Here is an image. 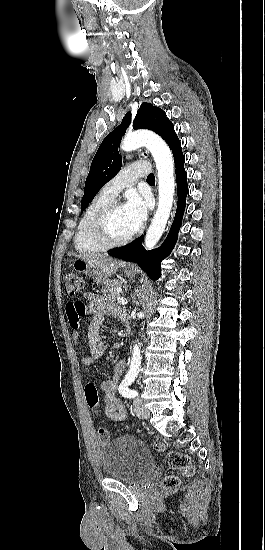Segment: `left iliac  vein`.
I'll return each mask as SVG.
<instances>
[{
  "label": "left iliac vein",
  "instance_id": "obj_1",
  "mask_svg": "<svg viewBox=\"0 0 265 550\" xmlns=\"http://www.w3.org/2000/svg\"><path fill=\"white\" fill-rule=\"evenodd\" d=\"M134 412L141 419H147L150 417L149 410L144 406L139 397L135 398L133 401Z\"/></svg>",
  "mask_w": 265,
  "mask_h": 550
}]
</instances>
